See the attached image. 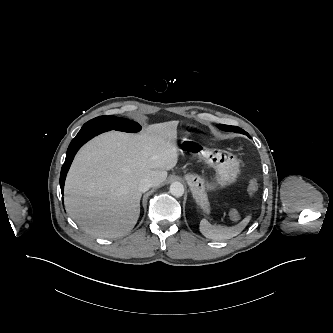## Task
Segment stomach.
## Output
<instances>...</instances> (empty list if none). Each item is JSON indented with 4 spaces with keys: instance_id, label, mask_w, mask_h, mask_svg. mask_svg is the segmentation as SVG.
I'll return each instance as SVG.
<instances>
[{
    "instance_id": "stomach-1",
    "label": "stomach",
    "mask_w": 333,
    "mask_h": 333,
    "mask_svg": "<svg viewBox=\"0 0 333 333\" xmlns=\"http://www.w3.org/2000/svg\"><path fill=\"white\" fill-rule=\"evenodd\" d=\"M182 148L199 157L216 171V183L210 182L198 174L188 173L185 179L189 184L196 203L206 213H210L207 191L213 190L216 184L226 186L233 183L240 171V163L231 152L220 149H203L192 140L184 138Z\"/></svg>"
}]
</instances>
